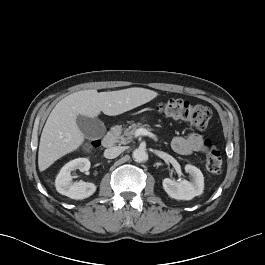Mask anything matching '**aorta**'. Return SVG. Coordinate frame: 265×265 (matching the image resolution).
<instances>
[{
	"label": "aorta",
	"mask_w": 265,
	"mask_h": 265,
	"mask_svg": "<svg viewBox=\"0 0 265 265\" xmlns=\"http://www.w3.org/2000/svg\"><path fill=\"white\" fill-rule=\"evenodd\" d=\"M132 157L136 162H144L148 159V154L145 149L137 148L133 151Z\"/></svg>",
	"instance_id": "obj_1"
}]
</instances>
